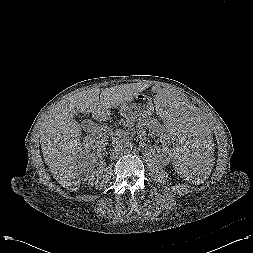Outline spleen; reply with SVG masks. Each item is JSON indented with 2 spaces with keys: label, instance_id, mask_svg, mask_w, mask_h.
Returning a JSON list of instances; mask_svg holds the SVG:
<instances>
[{
  "label": "spleen",
  "instance_id": "obj_1",
  "mask_svg": "<svg viewBox=\"0 0 253 253\" xmlns=\"http://www.w3.org/2000/svg\"><path fill=\"white\" fill-rule=\"evenodd\" d=\"M153 105L171 136L181 174L191 183L206 181L218 157L209 127L175 89L159 91Z\"/></svg>",
  "mask_w": 253,
  "mask_h": 253
}]
</instances>
